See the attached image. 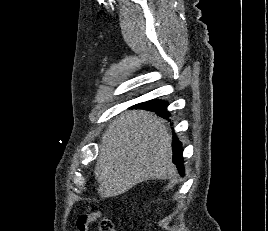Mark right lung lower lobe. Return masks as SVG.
<instances>
[{
    "label": "right lung lower lobe",
    "instance_id": "98d812e1",
    "mask_svg": "<svg viewBox=\"0 0 268 231\" xmlns=\"http://www.w3.org/2000/svg\"><path fill=\"white\" fill-rule=\"evenodd\" d=\"M134 108H141V109H146L143 106L136 105ZM149 110V109H146ZM152 111V110H150ZM158 115H160L163 118H168L170 115L166 111V109H163L161 111H154ZM173 147V163L177 165V169L179 170V173L183 176L184 175V168H183V158H182V149H181V143L178 141L176 137H174V142L172 144Z\"/></svg>",
    "mask_w": 268,
    "mask_h": 231
}]
</instances>
